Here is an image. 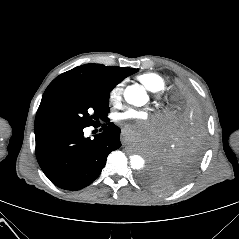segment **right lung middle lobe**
Here are the masks:
<instances>
[{"label":"right lung middle lobe","mask_w":239,"mask_h":239,"mask_svg":"<svg viewBox=\"0 0 239 239\" xmlns=\"http://www.w3.org/2000/svg\"><path fill=\"white\" fill-rule=\"evenodd\" d=\"M113 87L60 89L42 98L35 129L46 127H87L109 113Z\"/></svg>","instance_id":"dd1d6c3e"}]
</instances>
